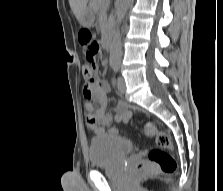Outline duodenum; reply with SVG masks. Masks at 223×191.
<instances>
[{"label":"duodenum","instance_id":"obj_1","mask_svg":"<svg viewBox=\"0 0 223 191\" xmlns=\"http://www.w3.org/2000/svg\"><path fill=\"white\" fill-rule=\"evenodd\" d=\"M112 32H113V27L107 31L105 38H104V46L106 48V50L110 49L111 46V41H112Z\"/></svg>","mask_w":223,"mask_h":191}]
</instances>
